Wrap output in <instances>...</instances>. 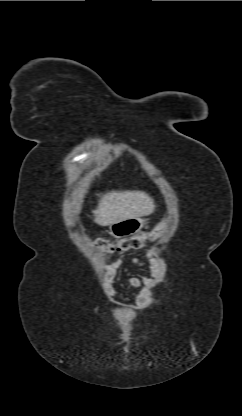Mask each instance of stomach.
<instances>
[{
  "label": "stomach",
  "instance_id": "0dacf381",
  "mask_svg": "<svg viewBox=\"0 0 242 416\" xmlns=\"http://www.w3.org/2000/svg\"><path fill=\"white\" fill-rule=\"evenodd\" d=\"M144 225V219L130 218L111 224L109 226V233L115 238H126L139 233Z\"/></svg>",
  "mask_w": 242,
  "mask_h": 416
}]
</instances>
